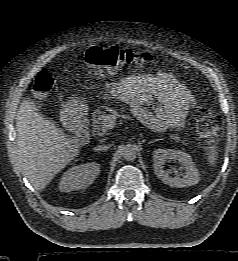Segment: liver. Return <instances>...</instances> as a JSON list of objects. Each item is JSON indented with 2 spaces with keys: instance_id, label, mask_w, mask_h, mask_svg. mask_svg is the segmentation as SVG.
Returning a JSON list of instances; mask_svg holds the SVG:
<instances>
[{
  "instance_id": "obj_1",
  "label": "liver",
  "mask_w": 238,
  "mask_h": 261,
  "mask_svg": "<svg viewBox=\"0 0 238 261\" xmlns=\"http://www.w3.org/2000/svg\"><path fill=\"white\" fill-rule=\"evenodd\" d=\"M17 155L24 175L42 191L80 153V144L39 114L35 103L22 101L16 116Z\"/></svg>"
}]
</instances>
